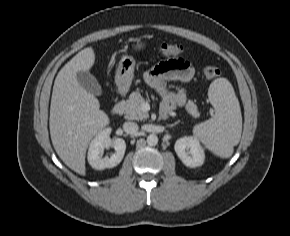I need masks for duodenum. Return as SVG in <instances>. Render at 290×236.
Here are the masks:
<instances>
[{
    "instance_id": "1",
    "label": "duodenum",
    "mask_w": 290,
    "mask_h": 236,
    "mask_svg": "<svg viewBox=\"0 0 290 236\" xmlns=\"http://www.w3.org/2000/svg\"><path fill=\"white\" fill-rule=\"evenodd\" d=\"M122 95H124V93H122ZM124 111V101L123 99H119L111 108V113L113 115H120L122 114Z\"/></svg>"
}]
</instances>
